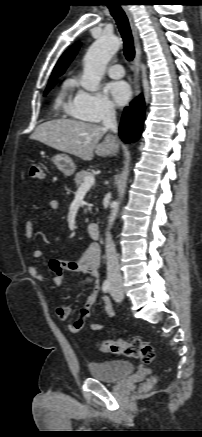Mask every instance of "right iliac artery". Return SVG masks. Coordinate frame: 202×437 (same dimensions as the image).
<instances>
[{
  "mask_svg": "<svg viewBox=\"0 0 202 437\" xmlns=\"http://www.w3.org/2000/svg\"><path fill=\"white\" fill-rule=\"evenodd\" d=\"M111 289V282L109 280H105L102 284V290L104 293L109 292Z\"/></svg>",
  "mask_w": 202,
  "mask_h": 437,
  "instance_id": "right-iliac-artery-1",
  "label": "right iliac artery"
}]
</instances>
